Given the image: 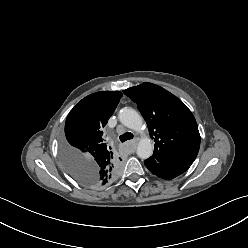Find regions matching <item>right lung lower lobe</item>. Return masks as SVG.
<instances>
[{"mask_svg": "<svg viewBox=\"0 0 248 248\" xmlns=\"http://www.w3.org/2000/svg\"><path fill=\"white\" fill-rule=\"evenodd\" d=\"M70 164L71 163H73V161H71L70 159H69V161H68ZM88 183H89V185H90V183L92 182V178H90V179H88V181H87Z\"/></svg>", "mask_w": 248, "mask_h": 248, "instance_id": "98d812e1", "label": "right lung lower lobe"}]
</instances>
